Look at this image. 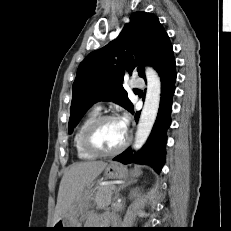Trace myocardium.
<instances>
[{"label": "myocardium", "instance_id": "f54148a6", "mask_svg": "<svg viewBox=\"0 0 231 231\" xmlns=\"http://www.w3.org/2000/svg\"><path fill=\"white\" fill-rule=\"evenodd\" d=\"M118 119L113 115H100L96 117L86 128L84 134H83V146L84 148L91 154L99 157H109L114 156L119 153H121L125 148L128 146L131 140V136L126 133V138L123 141V143L117 147L116 149L110 150V151H104L98 148L94 143V135L97 129L107 121H112Z\"/></svg>", "mask_w": 231, "mask_h": 231}]
</instances>
